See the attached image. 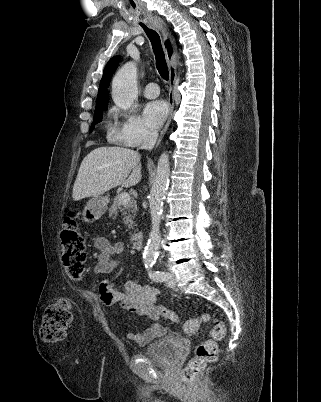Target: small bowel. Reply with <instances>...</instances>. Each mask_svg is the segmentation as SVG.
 Listing matches in <instances>:
<instances>
[{
  "label": "small bowel",
  "mask_w": 321,
  "mask_h": 402,
  "mask_svg": "<svg viewBox=\"0 0 321 402\" xmlns=\"http://www.w3.org/2000/svg\"><path fill=\"white\" fill-rule=\"evenodd\" d=\"M94 245L98 250L94 271L98 274L111 273L120 264L123 245L121 243H110L103 237L96 238ZM98 291L101 302L110 309L122 307L154 321L162 318H174L173 312L158 304L160 292L154 286L140 285L134 281H128L123 288H119L107 282L101 284ZM165 333V326L156 322L140 333L128 332L126 336L130 341L144 346Z\"/></svg>",
  "instance_id": "1"
}]
</instances>
